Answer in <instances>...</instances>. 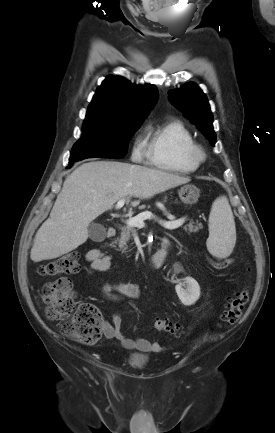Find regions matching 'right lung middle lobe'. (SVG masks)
<instances>
[{"mask_svg": "<svg viewBox=\"0 0 275 433\" xmlns=\"http://www.w3.org/2000/svg\"><path fill=\"white\" fill-rule=\"evenodd\" d=\"M142 121L121 124L84 122L83 136L73 146L69 167L86 158H122L127 153L128 141Z\"/></svg>", "mask_w": 275, "mask_h": 433, "instance_id": "dd1d6c3e", "label": "right lung middle lobe"}]
</instances>
